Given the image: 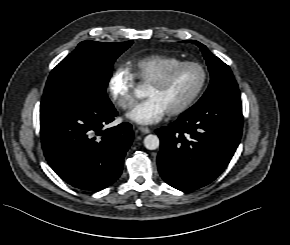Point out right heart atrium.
<instances>
[{"label": "right heart atrium", "instance_id": "1", "mask_svg": "<svg viewBox=\"0 0 290 245\" xmlns=\"http://www.w3.org/2000/svg\"><path fill=\"white\" fill-rule=\"evenodd\" d=\"M134 77L125 67L117 68L108 81V91L114 102L122 109H129L135 102Z\"/></svg>", "mask_w": 290, "mask_h": 245}]
</instances>
